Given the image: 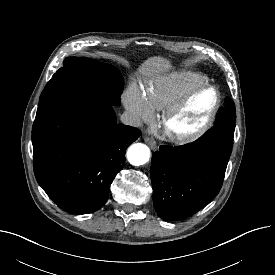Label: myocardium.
I'll return each mask as SVG.
<instances>
[{
	"mask_svg": "<svg viewBox=\"0 0 275 275\" xmlns=\"http://www.w3.org/2000/svg\"><path fill=\"white\" fill-rule=\"evenodd\" d=\"M206 90H212L215 92V95H216L215 104L211 112L207 116L206 120L199 127H197L196 129L188 133L174 134L169 132L168 125L170 121L186 107V105L195 95ZM220 105H221V95L219 90L215 86L210 84H204V85L198 86L196 88H193L189 92H187L179 100H177L175 103H173L171 106H169L167 109L163 111V114L161 116V126L164 129L167 137L172 142H175L178 144L190 143L200 138L211 128L217 116V113L219 111Z\"/></svg>",
	"mask_w": 275,
	"mask_h": 275,
	"instance_id": "obj_1",
	"label": "myocardium"
}]
</instances>
